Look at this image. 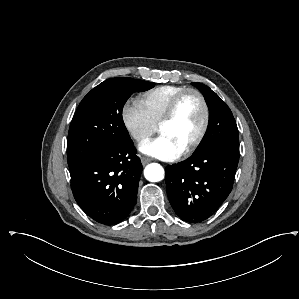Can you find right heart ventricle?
<instances>
[{
	"label": "right heart ventricle",
	"instance_id": "obj_1",
	"mask_svg": "<svg viewBox=\"0 0 299 299\" xmlns=\"http://www.w3.org/2000/svg\"><path fill=\"white\" fill-rule=\"evenodd\" d=\"M185 89V86L179 85L158 86L141 94L137 102L143 108L150 121L154 125H158L171 101Z\"/></svg>",
	"mask_w": 299,
	"mask_h": 299
}]
</instances>
